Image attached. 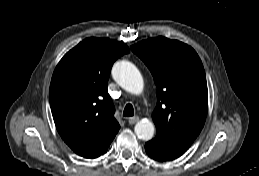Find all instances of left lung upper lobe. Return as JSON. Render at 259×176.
<instances>
[{"instance_id":"left-lung-upper-lobe-1","label":"left lung upper lobe","mask_w":259,"mask_h":176,"mask_svg":"<svg viewBox=\"0 0 259 176\" xmlns=\"http://www.w3.org/2000/svg\"><path fill=\"white\" fill-rule=\"evenodd\" d=\"M147 65L157 86L152 114L156 137L147 142L153 153L175 159L201 132L208 110L203 64L187 44L156 37L131 46Z\"/></svg>"}]
</instances>
